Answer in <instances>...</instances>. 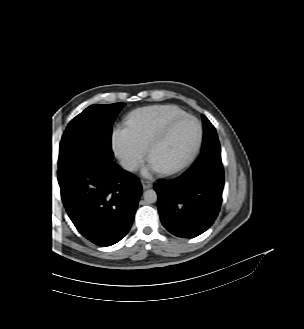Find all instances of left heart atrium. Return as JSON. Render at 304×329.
<instances>
[{
	"label": "left heart atrium",
	"mask_w": 304,
	"mask_h": 329,
	"mask_svg": "<svg viewBox=\"0 0 304 329\" xmlns=\"http://www.w3.org/2000/svg\"><path fill=\"white\" fill-rule=\"evenodd\" d=\"M154 170H155V168H154L153 166L150 165V167H149V171H154ZM146 174H149V172H146Z\"/></svg>",
	"instance_id": "obj_1"
}]
</instances>
